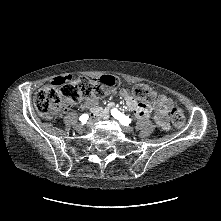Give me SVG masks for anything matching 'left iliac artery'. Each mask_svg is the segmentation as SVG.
<instances>
[{
    "instance_id": "1",
    "label": "left iliac artery",
    "mask_w": 221,
    "mask_h": 221,
    "mask_svg": "<svg viewBox=\"0 0 221 221\" xmlns=\"http://www.w3.org/2000/svg\"><path fill=\"white\" fill-rule=\"evenodd\" d=\"M111 115L114 118L118 119L119 122L124 126H128L131 122V119L128 116H125L120 111H118L116 108L111 110Z\"/></svg>"
}]
</instances>
